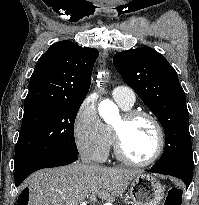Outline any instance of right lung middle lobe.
I'll list each match as a JSON object with an SVG mask.
<instances>
[{
	"instance_id": "obj_1",
	"label": "right lung middle lobe",
	"mask_w": 199,
	"mask_h": 205,
	"mask_svg": "<svg viewBox=\"0 0 199 205\" xmlns=\"http://www.w3.org/2000/svg\"><path fill=\"white\" fill-rule=\"evenodd\" d=\"M81 104L55 103L24 111L14 168L48 154L77 156L73 126Z\"/></svg>"
}]
</instances>
